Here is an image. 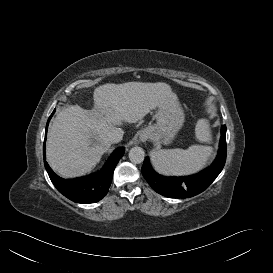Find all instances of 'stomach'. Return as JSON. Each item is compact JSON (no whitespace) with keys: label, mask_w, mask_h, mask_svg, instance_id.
<instances>
[{"label":"stomach","mask_w":273,"mask_h":273,"mask_svg":"<svg viewBox=\"0 0 273 273\" xmlns=\"http://www.w3.org/2000/svg\"><path fill=\"white\" fill-rule=\"evenodd\" d=\"M176 95V94H175ZM155 124L144 131L158 144H169L184 123V112L178 98L168 97L155 108Z\"/></svg>","instance_id":"0dacf381"}]
</instances>
